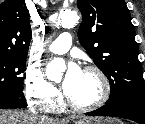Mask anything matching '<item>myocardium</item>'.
<instances>
[{"label":"myocardium","instance_id":"f54148a6","mask_svg":"<svg viewBox=\"0 0 145 124\" xmlns=\"http://www.w3.org/2000/svg\"><path fill=\"white\" fill-rule=\"evenodd\" d=\"M83 72L95 74L101 85L100 97L93 103L87 105H77L73 103L67 95H65V104L74 112L77 113H88L98 110L104 106L110 97V82L106 74L97 66L87 65L83 68Z\"/></svg>","mask_w":145,"mask_h":124}]
</instances>
